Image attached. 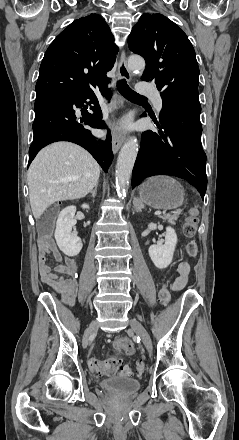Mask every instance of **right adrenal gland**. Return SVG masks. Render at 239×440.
Instances as JSON below:
<instances>
[{
	"label": "right adrenal gland",
	"instance_id": "obj_1",
	"mask_svg": "<svg viewBox=\"0 0 239 440\" xmlns=\"http://www.w3.org/2000/svg\"><path fill=\"white\" fill-rule=\"evenodd\" d=\"M97 188H98V184H97V186H94V190H92V192H91L93 198H95V196H96Z\"/></svg>",
	"mask_w": 239,
	"mask_h": 440
}]
</instances>
